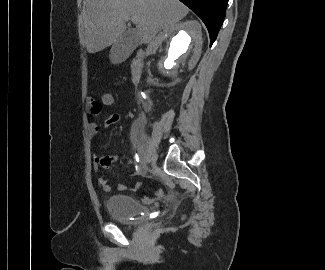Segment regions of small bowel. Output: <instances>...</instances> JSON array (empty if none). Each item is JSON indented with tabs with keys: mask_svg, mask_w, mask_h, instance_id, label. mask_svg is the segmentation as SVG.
<instances>
[{
	"mask_svg": "<svg viewBox=\"0 0 325 270\" xmlns=\"http://www.w3.org/2000/svg\"><path fill=\"white\" fill-rule=\"evenodd\" d=\"M101 96H114L112 92H104ZM114 105V103H99V100L96 99H90L87 105L88 114L90 116H98L101 114L104 107H109ZM119 121V115L113 114L109 116L105 122L104 125L106 127H110L113 125H116ZM99 132V125L95 122H91L89 125V133L92 137L96 136ZM128 158L125 155H108V154H101V155H95L94 156V163L97 168H104L108 169L111 167V165L116 161H122L127 160ZM136 175L139 174V172H135ZM99 183L101 184L102 188L106 192L111 191V186L108 183L107 178L100 177ZM140 188V183H135L131 187L126 186L125 184H119L117 189L120 192H124L128 189L131 191H137ZM145 200L149 201L148 198H145Z\"/></svg>",
	"mask_w": 325,
	"mask_h": 270,
	"instance_id": "1",
	"label": "small bowel"
}]
</instances>
